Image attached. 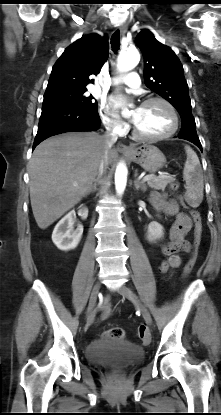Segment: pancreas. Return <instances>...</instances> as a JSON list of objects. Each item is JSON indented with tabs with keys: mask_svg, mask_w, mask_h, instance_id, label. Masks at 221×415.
<instances>
[{
	"mask_svg": "<svg viewBox=\"0 0 221 415\" xmlns=\"http://www.w3.org/2000/svg\"><path fill=\"white\" fill-rule=\"evenodd\" d=\"M174 182L170 177H155L147 181V185L155 190H164L168 184Z\"/></svg>",
	"mask_w": 221,
	"mask_h": 415,
	"instance_id": "obj_1",
	"label": "pancreas"
}]
</instances>
